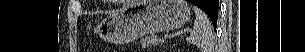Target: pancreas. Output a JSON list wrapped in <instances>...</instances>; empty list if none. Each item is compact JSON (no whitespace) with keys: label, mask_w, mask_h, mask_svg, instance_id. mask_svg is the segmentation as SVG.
<instances>
[{"label":"pancreas","mask_w":305,"mask_h":52,"mask_svg":"<svg viewBox=\"0 0 305 52\" xmlns=\"http://www.w3.org/2000/svg\"><path fill=\"white\" fill-rule=\"evenodd\" d=\"M161 43V39L155 35H148L144 39L141 40L142 47H148L149 45H159Z\"/></svg>","instance_id":"1"}]
</instances>
